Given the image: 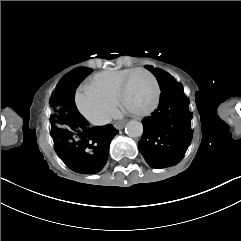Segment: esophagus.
Masks as SVG:
<instances>
[{
  "instance_id": "34e87169",
  "label": "esophagus",
  "mask_w": 241,
  "mask_h": 241,
  "mask_svg": "<svg viewBox=\"0 0 241 241\" xmlns=\"http://www.w3.org/2000/svg\"><path fill=\"white\" fill-rule=\"evenodd\" d=\"M125 126V123L123 122H117L114 124V127L117 129V130H122Z\"/></svg>"
}]
</instances>
